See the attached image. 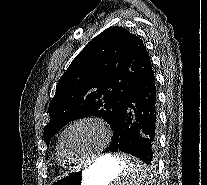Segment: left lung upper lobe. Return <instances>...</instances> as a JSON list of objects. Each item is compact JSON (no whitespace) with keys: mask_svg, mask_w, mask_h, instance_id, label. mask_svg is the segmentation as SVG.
<instances>
[{"mask_svg":"<svg viewBox=\"0 0 207 185\" xmlns=\"http://www.w3.org/2000/svg\"><path fill=\"white\" fill-rule=\"evenodd\" d=\"M152 70L142 41L122 27L101 32L75 57L56 86L49 105L50 139L69 122L99 116L113 130L118 112L137 83Z\"/></svg>","mask_w":207,"mask_h":185,"instance_id":"left-lung-upper-lobe-1","label":"left lung upper lobe"}]
</instances>
